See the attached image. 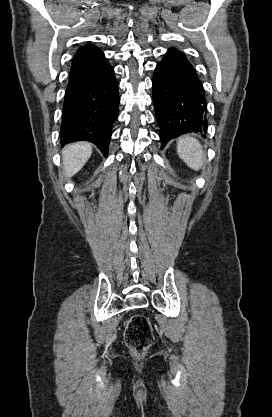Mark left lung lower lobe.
Here are the masks:
<instances>
[{"label":"left lung lower lobe","instance_id":"0a47b994","mask_svg":"<svg viewBox=\"0 0 272 417\" xmlns=\"http://www.w3.org/2000/svg\"><path fill=\"white\" fill-rule=\"evenodd\" d=\"M153 103L162 147L183 133L207 132L204 88L184 54L170 48L153 77Z\"/></svg>","mask_w":272,"mask_h":417}]
</instances>
